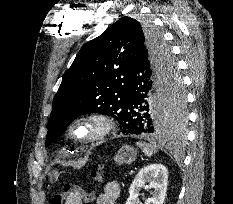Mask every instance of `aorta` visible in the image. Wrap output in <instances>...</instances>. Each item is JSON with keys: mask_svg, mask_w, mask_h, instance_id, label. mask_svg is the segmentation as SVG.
Returning <instances> with one entry per match:
<instances>
[{"mask_svg": "<svg viewBox=\"0 0 233 204\" xmlns=\"http://www.w3.org/2000/svg\"><path fill=\"white\" fill-rule=\"evenodd\" d=\"M152 107H154V109H155L156 111L160 110V106H157L156 103H153V104H152Z\"/></svg>", "mask_w": 233, "mask_h": 204, "instance_id": "aorta-1", "label": "aorta"}]
</instances>
